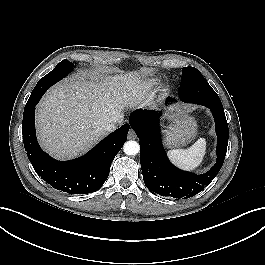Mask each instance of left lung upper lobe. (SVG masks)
<instances>
[{
    "instance_id": "5c2ea615",
    "label": "left lung upper lobe",
    "mask_w": 265,
    "mask_h": 265,
    "mask_svg": "<svg viewBox=\"0 0 265 265\" xmlns=\"http://www.w3.org/2000/svg\"><path fill=\"white\" fill-rule=\"evenodd\" d=\"M182 78H181V89L179 91V96H185L192 91L204 87V88H210L211 86L208 84V82L205 80V78L202 76V74L194 67H184L182 69ZM215 104L223 107L222 103L217 95Z\"/></svg>"
}]
</instances>
